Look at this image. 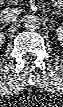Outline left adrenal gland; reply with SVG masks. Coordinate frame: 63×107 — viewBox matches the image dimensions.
<instances>
[{
	"mask_svg": "<svg viewBox=\"0 0 63 107\" xmlns=\"http://www.w3.org/2000/svg\"><path fill=\"white\" fill-rule=\"evenodd\" d=\"M52 14H54V15H61V13H60V12H58V11L53 12Z\"/></svg>",
	"mask_w": 63,
	"mask_h": 107,
	"instance_id": "a2214340",
	"label": "left adrenal gland"
}]
</instances>
